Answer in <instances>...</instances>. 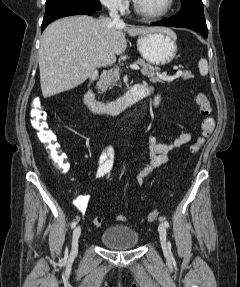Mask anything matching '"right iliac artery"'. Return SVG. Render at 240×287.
<instances>
[{
    "label": "right iliac artery",
    "mask_w": 240,
    "mask_h": 287,
    "mask_svg": "<svg viewBox=\"0 0 240 287\" xmlns=\"http://www.w3.org/2000/svg\"><path fill=\"white\" fill-rule=\"evenodd\" d=\"M76 224H77V221H73V222L71 223V228H72V229L75 228Z\"/></svg>",
    "instance_id": "82829eb1"
}]
</instances>
